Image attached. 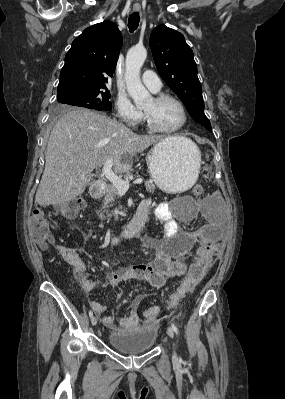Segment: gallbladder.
<instances>
[{"instance_id": "gallbladder-1", "label": "gallbladder", "mask_w": 285, "mask_h": 399, "mask_svg": "<svg viewBox=\"0 0 285 399\" xmlns=\"http://www.w3.org/2000/svg\"><path fill=\"white\" fill-rule=\"evenodd\" d=\"M93 179H92V177H90V181H92Z\"/></svg>"}]
</instances>
